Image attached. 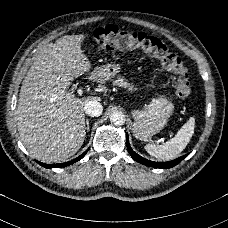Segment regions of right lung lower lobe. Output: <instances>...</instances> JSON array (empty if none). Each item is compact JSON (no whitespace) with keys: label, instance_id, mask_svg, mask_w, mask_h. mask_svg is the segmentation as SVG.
<instances>
[{"label":"right lung lower lobe","instance_id":"right-lung-lower-lobe-1","mask_svg":"<svg viewBox=\"0 0 228 228\" xmlns=\"http://www.w3.org/2000/svg\"><path fill=\"white\" fill-rule=\"evenodd\" d=\"M88 150H86L83 154H81L79 157L69 161V162H66V163H61V164H44V163H41L39 161H36L38 164H40L41 166L45 167V168H61V167H66L68 165H71L77 161H79L81 158L84 157V155L87 153Z\"/></svg>","mask_w":228,"mask_h":228}]
</instances>
